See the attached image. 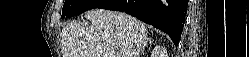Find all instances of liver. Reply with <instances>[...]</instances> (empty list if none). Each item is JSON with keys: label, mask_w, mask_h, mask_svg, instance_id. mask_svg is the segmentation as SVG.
Listing matches in <instances>:
<instances>
[{"label": "liver", "mask_w": 249, "mask_h": 57, "mask_svg": "<svg viewBox=\"0 0 249 57\" xmlns=\"http://www.w3.org/2000/svg\"><path fill=\"white\" fill-rule=\"evenodd\" d=\"M85 17L89 27L73 21L63 28V57H139L148 41L146 24L126 13L94 9Z\"/></svg>", "instance_id": "liver-1"}]
</instances>
